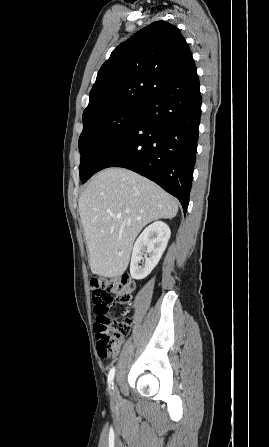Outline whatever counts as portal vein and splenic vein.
Wrapping results in <instances>:
<instances>
[{"label":"portal vein and splenic vein","mask_w":269,"mask_h":447,"mask_svg":"<svg viewBox=\"0 0 269 447\" xmlns=\"http://www.w3.org/2000/svg\"><path fill=\"white\" fill-rule=\"evenodd\" d=\"M115 220H119V218H121V216H114Z\"/></svg>","instance_id":"18ae733b"}]
</instances>
